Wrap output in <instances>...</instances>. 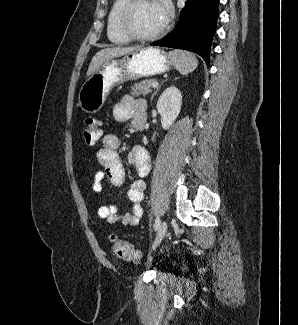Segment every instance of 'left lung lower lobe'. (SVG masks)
Listing matches in <instances>:
<instances>
[{"instance_id": "0a47b994", "label": "left lung lower lobe", "mask_w": 298, "mask_h": 325, "mask_svg": "<svg viewBox=\"0 0 298 325\" xmlns=\"http://www.w3.org/2000/svg\"><path fill=\"white\" fill-rule=\"evenodd\" d=\"M219 16V0H189L174 30L151 45L192 51L209 65L212 37Z\"/></svg>"}]
</instances>
